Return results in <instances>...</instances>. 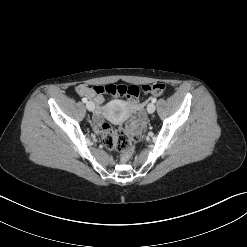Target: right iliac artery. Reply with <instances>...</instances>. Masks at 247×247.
Here are the masks:
<instances>
[{
    "instance_id": "82829eb1",
    "label": "right iliac artery",
    "mask_w": 247,
    "mask_h": 247,
    "mask_svg": "<svg viewBox=\"0 0 247 247\" xmlns=\"http://www.w3.org/2000/svg\"><path fill=\"white\" fill-rule=\"evenodd\" d=\"M82 101L84 102V103H86L87 102V98H82Z\"/></svg>"
}]
</instances>
